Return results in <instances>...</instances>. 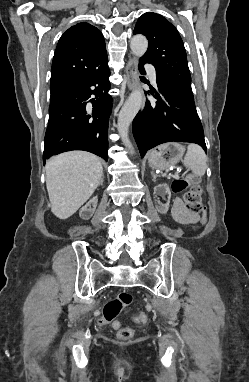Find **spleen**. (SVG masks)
<instances>
[{"label": "spleen", "instance_id": "3e777b00", "mask_svg": "<svg viewBox=\"0 0 249 382\" xmlns=\"http://www.w3.org/2000/svg\"><path fill=\"white\" fill-rule=\"evenodd\" d=\"M183 163L196 176L201 177L205 174L207 168V156L199 145L190 144L187 147Z\"/></svg>", "mask_w": 249, "mask_h": 382}]
</instances>
